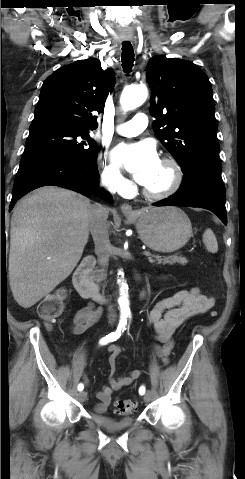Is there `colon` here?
Masks as SVG:
<instances>
[{"label":"colon","instance_id":"colon-1","mask_svg":"<svg viewBox=\"0 0 245 479\" xmlns=\"http://www.w3.org/2000/svg\"><path fill=\"white\" fill-rule=\"evenodd\" d=\"M67 293L65 289L57 291L45 296L38 306L40 317L49 325H53L57 318L63 313L66 305ZM114 407L119 414H130L135 412L137 404L127 399H117Z\"/></svg>","mask_w":245,"mask_h":479}]
</instances>
